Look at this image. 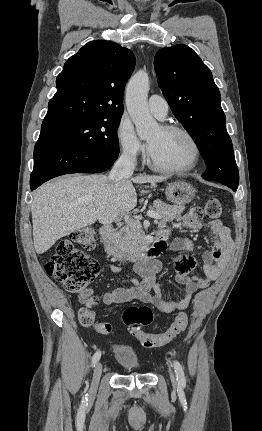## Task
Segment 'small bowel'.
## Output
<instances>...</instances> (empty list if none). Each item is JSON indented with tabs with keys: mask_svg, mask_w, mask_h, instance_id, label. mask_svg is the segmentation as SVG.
<instances>
[{
	"mask_svg": "<svg viewBox=\"0 0 262 431\" xmlns=\"http://www.w3.org/2000/svg\"><path fill=\"white\" fill-rule=\"evenodd\" d=\"M180 222L191 231H199L202 227L201 212L194 209L181 217ZM213 246L210 250L204 251L200 255V265L202 274L189 275L194 268V259L188 255H182L175 261L176 282L183 286L180 295L173 299L166 297L157 276L162 269V264L154 257H147L136 263L134 270L140 277L139 282L125 278L123 282H133L129 287H120L107 291L104 294L103 302L106 305L125 304L133 301H141L155 306L164 313L184 310L188 307L194 294L209 287L223 273L230 257L232 240L230 229L221 224L219 220H213L210 224ZM173 232V229L160 224L158 236L166 238ZM163 246V244H162ZM172 247L179 252L192 253L194 251V241L190 237L174 239ZM163 248V247H162ZM110 271L119 274L121 268L117 264H110ZM83 305L82 310L90 312L94 317L93 308L98 303V297L93 289H86L74 297ZM96 331L100 333L98 329Z\"/></svg>",
	"mask_w": 262,
	"mask_h": 431,
	"instance_id": "small-bowel-1",
	"label": "small bowel"
}]
</instances>
